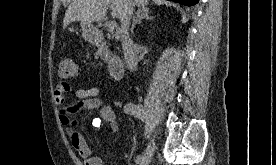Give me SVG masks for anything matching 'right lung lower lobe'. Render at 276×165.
I'll list each match as a JSON object with an SVG mask.
<instances>
[{"mask_svg":"<svg viewBox=\"0 0 276 165\" xmlns=\"http://www.w3.org/2000/svg\"><path fill=\"white\" fill-rule=\"evenodd\" d=\"M170 1L178 2L185 6H193L197 4L199 0H170Z\"/></svg>","mask_w":276,"mask_h":165,"instance_id":"right-lung-lower-lobe-1","label":"right lung lower lobe"}]
</instances>
